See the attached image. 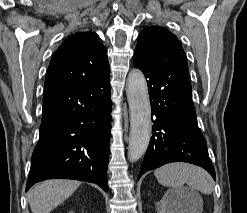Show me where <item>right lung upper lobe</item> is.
Wrapping results in <instances>:
<instances>
[{
	"instance_id": "right-lung-upper-lobe-1",
	"label": "right lung upper lobe",
	"mask_w": 247,
	"mask_h": 213,
	"mask_svg": "<svg viewBox=\"0 0 247 213\" xmlns=\"http://www.w3.org/2000/svg\"><path fill=\"white\" fill-rule=\"evenodd\" d=\"M98 40L93 32H78L64 40L48 67L44 95L110 74L107 51Z\"/></svg>"
}]
</instances>
